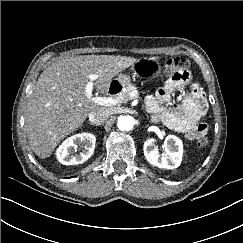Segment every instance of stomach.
<instances>
[{
    "instance_id": "obj_1",
    "label": "stomach",
    "mask_w": 243,
    "mask_h": 243,
    "mask_svg": "<svg viewBox=\"0 0 243 243\" xmlns=\"http://www.w3.org/2000/svg\"><path fill=\"white\" fill-rule=\"evenodd\" d=\"M157 64V58H145L144 60H135L131 65V69L135 75L144 77L155 73L157 71ZM116 80L124 87L130 83L131 78L128 75L120 74Z\"/></svg>"
}]
</instances>
